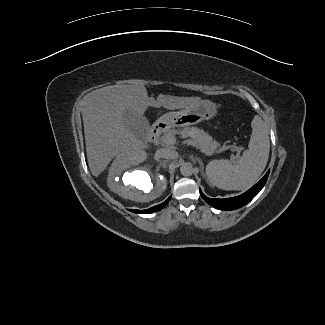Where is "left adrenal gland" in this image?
Masks as SVG:
<instances>
[{
	"label": "left adrenal gland",
	"instance_id": "left-adrenal-gland-1",
	"mask_svg": "<svg viewBox=\"0 0 325 325\" xmlns=\"http://www.w3.org/2000/svg\"><path fill=\"white\" fill-rule=\"evenodd\" d=\"M197 161H198V163H199V165H200V167H201L202 176H203L204 178H206V175H205L204 172H203V170H204V165H203L202 160L199 159V158H197ZM206 181L208 182V179H207V178H206ZM208 183H209V182H208Z\"/></svg>",
	"mask_w": 325,
	"mask_h": 325
}]
</instances>
